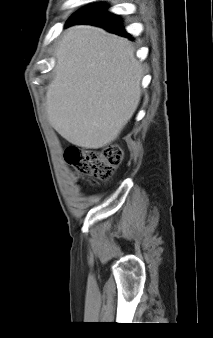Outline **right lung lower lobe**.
Wrapping results in <instances>:
<instances>
[{
    "label": "right lung lower lobe",
    "mask_w": 213,
    "mask_h": 338,
    "mask_svg": "<svg viewBox=\"0 0 213 338\" xmlns=\"http://www.w3.org/2000/svg\"><path fill=\"white\" fill-rule=\"evenodd\" d=\"M105 4H92L78 11L65 25L90 24L102 27L109 32L131 39V36L122 28L121 19L107 11Z\"/></svg>",
    "instance_id": "obj_1"
}]
</instances>
